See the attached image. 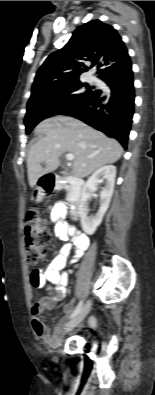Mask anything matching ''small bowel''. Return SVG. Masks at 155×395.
Masks as SVG:
<instances>
[{
	"instance_id": "obj_1",
	"label": "small bowel",
	"mask_w": 155,
	"mask_h": 395,
	"mask_svg": "<svg viewBox=\"0 0 155 395\" xmlns=\"http://www.w3.org/2000/svg\"><path fill=\"white\" fill-rule=\"evenodd\" d=\"M65 215V204L62 202L55 203L50 212L51 220L55 223V233L60 240L70 242H67L62 247L60 254L49 263L44 271L43 267H30L29 272L30 289H32V292H47V285H45L47 282L56 286L53 294L40 299L31 308L32 326L35 334L51 347H56L60 344L63 327L68 315L72 311V305L65 306V315L53 333L50 332L45 324L42 311L44 309H52L55 303L63 300L66 286L69 282V275L62 270L67 265L68 257L71 256V263L77 262L89 246L88 237L65 222Z\"/></svg>"
}]
</instances>
